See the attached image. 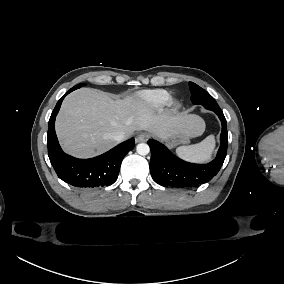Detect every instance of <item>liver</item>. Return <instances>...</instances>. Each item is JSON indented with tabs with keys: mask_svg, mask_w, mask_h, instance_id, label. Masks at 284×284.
<instances>
[{
	"mask_svg": "<svg viewBox=\"0 0 284 284\" xmlns=\"http://www.w3.org/2000/svg\"><path fill=\"white\" fill-rule=\"evenodd\" d=\"M184 128L188 139L203 135L205 123L194 115L151 118V110L129 97L114 101L108 94L82 88L66 97L57 118L56 130L66 151L90 156L114 146V136L125 138L133 131L147 129L166 138L171 131Z\"/></svg>",
	"mask_w": 284,
	"mask_h": 284,
	"instance_id": "obj_1",
	"label": "liver"
}]
</instances>
